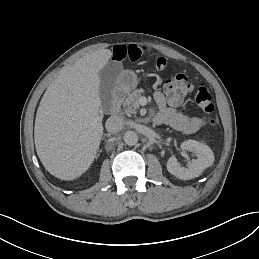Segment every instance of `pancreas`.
<instances>
[{
	"instance_id": "cf45deb5",
	"label": "pancreas",
	"mask_w": 259,
	"mask_h": 259,
	"mask_svg": "<svg viewBox=\"0 0 259 259\" xmlns=\"http://www.w3.org/2000/svg\"><path fill=\"white\" fill-rule=\"evenodd\" d=\"M144 93L142 88L134 90L128 95L123 102V109L126 115H136V110L139 108V98Z\"/></svg>"
}]
</instances>
